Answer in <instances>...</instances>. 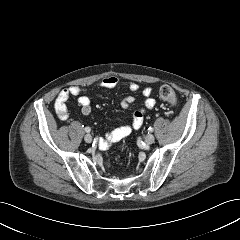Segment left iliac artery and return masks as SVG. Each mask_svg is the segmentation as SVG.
Wrapping results in <instances>:
<instances>
[{
    "label": "left iliac artery",
    "instance_id": "1",
    "mask_svg": "<svg viewBox=\"0 0 240 240\" xmlns=\"http://www.w3.org/2000/svg\"><path fill=\"white\" fill-rule=\"evenodd\" d=\"M148 132L152 133V132H153V128H152V127H149V128H148Z\"/></svg>",
    "mask_w": 240,
    "mask_h": 240
}]
</instances>
